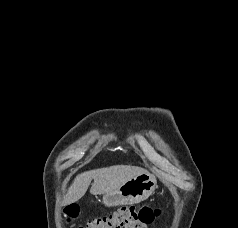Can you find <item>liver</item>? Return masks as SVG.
<instances>
[{"mask_svg":"<svg viewBox=\"0 0 238 228\" xmlns=\"http://www.w3.org/2000/svg\"><path fill=\"white\" fill-rule=\"evenodd\" d=\"M146 172L147 171L141 167L130 165H115L83 172L74 179L64 197V205L74 203L81 199L88 190L92 180L93 183L90 188V193L93 195H101L114 192L125 182Z\"/></svg>","mask_w":238,"mask_h":228,"instance_id":"6515ba94","label":"liver"}]
</instances>
